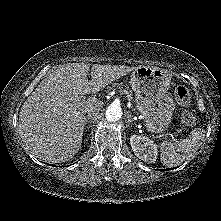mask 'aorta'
<instances>
[{"mask_svg":"<svg viewBox=\"0 0 221 221\" xmlns=\"http://www.w3.org/2000/svg\"><path fill=\"white\" fill-rule=\"evenodd\" d=\"M105 116L109 122L118 121L122 117V109L119 105L111 104L107 107Z\"/></svg>","mask_w":221,"mask_h":221,"instance_id":"aorta-1","label":"aorta"}]
</instances>
